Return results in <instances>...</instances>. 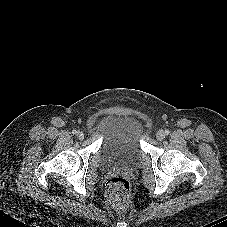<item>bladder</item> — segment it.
Listing matches in <instances>:
<instances>
[{"label":"bladder","instance_id":"obj_1","mask_svg":"<svg viewBox=\"0 0 227 227\" xmlns=\"http://www.w3.org/2000/svg\"><path fill=\"white\" fill-rule=\"evenodd\" d=\"M93 127L103 137L102 157L106 164L128 166L139 160L141 124L136 116L110 112L101 116Z\"/></svg>","mask_w":227,"mask_h":227}]
</instances>
